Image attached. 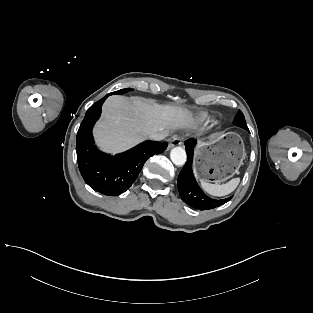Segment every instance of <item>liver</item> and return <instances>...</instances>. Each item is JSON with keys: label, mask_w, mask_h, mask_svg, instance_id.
<instances>
[{"label": "liver", "mask_w": 313, "mask_h": 313, "mask_svg": "<svg viewBox=\"0 0 313 313\" xmlns=\"http://www.w3.org/2000/svg\"><path fill=\"white\" fill-rule=\"evenodd\" d=\"M189 112L170 105H158L139 97L111 96L103 105L94 135L102 149L126 150L148 138L150 133L180 129L188 125Z\"/></svg>", "instance_id": "liver-1"}]
</instances>
